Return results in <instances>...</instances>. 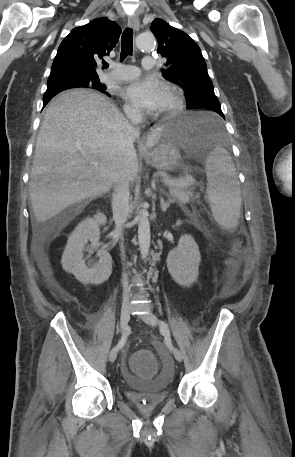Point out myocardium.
<instances>
[{"mask_svg": "<svg viewBox=\"0 0 295 457\" xmlns=\"http://www.w3.org/2000/svg\"><path fill=\"white\" fill-rule=\"evenodd\" d=\"M163 87L167 92L170 93L172 102L166 109L155 114V117L157 118L171 117L176 115L183 109L185 103L183 92L178 86L170 83H165Z\"/></svg>", "mask_w": 295, "mask_h": 457, "instance_id": "1", "label": "myocardium"}]
</instances>
